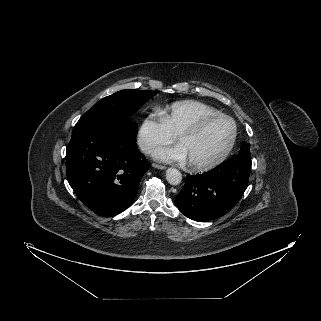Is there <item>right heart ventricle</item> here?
<instances>
[{"label": "right heart ventricle", "mask_w": 321, "mask_h": 321, "mask_svg": "<svg viewBox=\"0 0 321 321\" xmlns=\"http://www.w3.org/2000/svg\"><path fill=\"white\" fill-rule=\"evenodd\" d=\"M216 113H220L216 108L197 100L175 102L160 112L166 128L173 135L201 117Z\"/></svg>", "instance_id": "1"}]
</instances>
